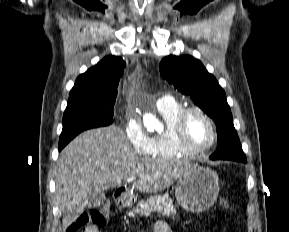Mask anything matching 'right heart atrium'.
Returning <instances> with one entry per match:
<instances>
[{"label":"right heart atrium","mask_w":289,"mask_h":232,"mask_svg":"<svg viewBox=\"0 0 289 232\" xmlns=\"http://www.w3.org/2000/svg\"><path fill=\"white\" fill-rule=\"evenodd\" d=\"M124 134L131 148L140 155H148L151 151V138L144 132L139 120L127 116L124 123Z\"/></svg>","instance_id":"right-heart-atrium-1"}]
</instances>
